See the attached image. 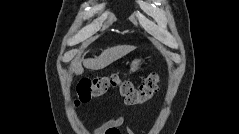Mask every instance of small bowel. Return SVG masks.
I'll return each mask as SVG.
<instances>
[{"label": "small bowel", "instance_id": "small-bowel-1", "mask_svg": "<svg viewBox=\"0 0 239 134\" xmlns=\"http://www.w3.org/2000/svg\"><path fill=\"white\" fill-rule=\"evenodd\" d=\"M124 122L122 113L112 117L109 121L97 127L94 134H121L120 127ZM127 134H134L133 127L130 125L127 128Z\"/></svg>", "mask_w": 239, "mask_h": 134}]
</instances>
